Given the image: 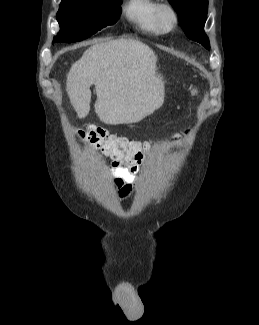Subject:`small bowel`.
I'll return each mask as SVG.
<instances>
[{
	"instance_id": "c3829d8e",
	"label": "small bowel",
	"mask_w": 259,
	"mask_h": 325,
	"mask_svg": "<svg viewBox=\"0 0 259 325\" xmlns=\"http://www.w3.org/2000/svg\"><path fill=\"white\" fill-rule=\"evenodd\" d=\"M140 163L113 160L109 165V174L113 185L118 189L120 199H126L134 191Z\"/></svg>"
}]
</instances>
